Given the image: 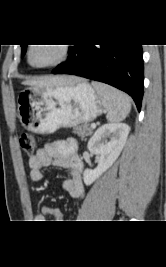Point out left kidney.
I'll return each mask as SVG.
<instances>
[{
  "label": "left kidney",
  "instance_id": "obj_1",
  "mask_svg": "<svg viewBox=\"0 0 166 267\" xmlns=\"http://www.w3.org/2000/svg\"><path fill=\"white\" fill-rule=\"evenodd\" d=\"M130 127L125 123L105 124L97 129L88 142V150L98 156V165L95 169H86L83 180L91 185L107 169H109L120 155Z\"/></svg>",
  "mask_w": 166,
  "mask_h": 267
}]
</instances>
